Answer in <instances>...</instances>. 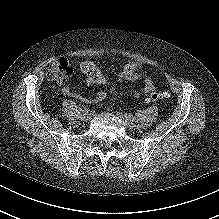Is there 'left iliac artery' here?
<instances>
[{
	"label": "left iliac artery",
	"mask_w": 219,
	"mask_h": 219,
	"mask_svg": "<svg viewBox=\"0 0 219 219\" xmlns=\"http://www.w3.org/2000/svg\"><path fill=\"white\" fill-rule=\"evenodd\" d=\"M126 117L128 119H132L133 121L135 120V117L133 115H131V114H126Z\"/></svg>",
	"instance_id": "44dca946"
}]
</instances>
